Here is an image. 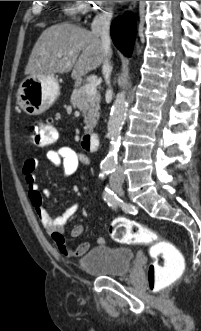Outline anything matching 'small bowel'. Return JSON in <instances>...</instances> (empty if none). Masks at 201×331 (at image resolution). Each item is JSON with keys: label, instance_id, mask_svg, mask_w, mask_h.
<instances>
[{"label": "small bowel", "instance_id": "c3829d8e", "mask_svg": "<svg viewBox=\"0 0 201 331\" xmlns=\"http://www.w3.org/2000/svg\"><path fill=\"white\" fill-rule=\"evenodd\" d=\"M46 158L51 164L61 170L64 177L72 176L80 162H87L84 156L64 145L47 151ZM38 166L39 160L37 158L27 159L22 166V174L27 185L30 203L45 230L51 234L58 250L68 257H80L89 250L90 244L84 242L77 247H71L64 236L65 225L77 213L80 203L68 207L60 216L52 218L43 204V194L45 192L40 189L36 180L35 171ZM83 233L84 227L82 225L74 226L71 231V235L74 238L82 236ZM104 241L103 237H99L97 240L99 244L104 243Z\"/></svg>", "mask_w": 201, "mask_h": 331}]
</instances>
